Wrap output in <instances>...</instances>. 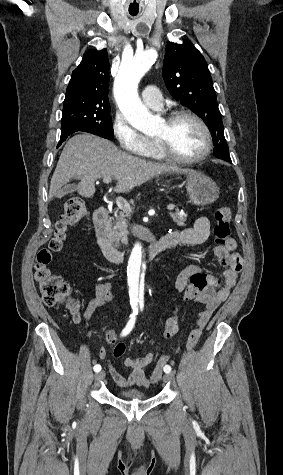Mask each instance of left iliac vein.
Wrapping results in <instances>:
<instances>
[{
	"label": "left iliac vein",
	"instance_id": "4c4485c4",
	"mask_svg": "<svg viewBox=\"0 0 283 475\" xmlns=\"http://www.w3.org/2000/svg\"><path fill=\"white\" fill-rule=\"evenodd\" d=\"M163 381L164 382H173L174 381V377L172 374H165L163 376Z\"/></svg>",
	"mask_w": 283,
	"mask_h": 475
}]
</instances>
